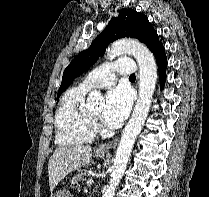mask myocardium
I'll list each match as a JSON object with an SVG mask.
<instances>
[{"label":"myocardium","instance_id":"1","mask_svg":"<svg viewBox=\"0 0 209 197\" xmlns=\"http://www.w3.org/2000/svg\"><path fill=\"white\" fill-rule=\"evenodd\" d=\"M88 115H89V118H90L91 126L94 130L98 127V115H94L90 111H88Z\"/></svg>","mask_w":209,"mask_h":197}]
</instances>
